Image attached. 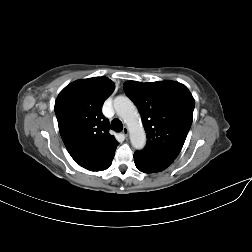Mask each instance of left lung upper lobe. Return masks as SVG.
<instances>
[{
	"instance_id": "obj_1",
	"label": "left lung upper lobe",
	"mask_w": 252,
	"mask_h": 252,
	"mask_svg": "<svg viewBox=\"0 0 252 252\" xmlns=\"http://www.w3.org/2000/svg\"><path fill=\"white\" fill-rule=\"evenodd\" d=\"M123 87L141 114L147 136L144 149L176 159L193 120L195 101L190 91L174 81H127Z\"/></svg>"
}]
</instances>
